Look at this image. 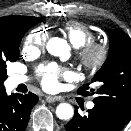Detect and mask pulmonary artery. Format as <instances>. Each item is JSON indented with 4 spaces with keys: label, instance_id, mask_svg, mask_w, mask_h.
Segmentation results:
<instances>
[{
    "label": "pulmonary artery",
    "instance_id": "1",
    "mask_svg": "<svg viewBox=\"0 0 131 131\" xmlns=\"http://www.w3.org/2000/svg\"><path fill=\"white\" fill-rule=\"evenodd\" d=\"M12 81H13V83H14L15 85H18V84H20V83L25 82V81H26V78L23 77V76H14V77L12 78ZM93 107H94V103H93V102H88V103H87V108H88V109H92Z\"/></svg>",
    "mask_w": 131,
    "mask_h": 131
}]
</instances>
